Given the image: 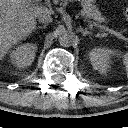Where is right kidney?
<instances>
[{
    "label": "right kidney",
    "instance_id": "right-kidney-1",
    "mask_svg": "<svg viewBox=\"0 0 128 128\" xmlns=\"http://www.w3.org/2000/svg\"><path fill=\"white\" fill-rule=\"evenodd\" d=\"M36 44L25 43L16 47L10 53L11 63L19 68L30 66L35 58Z\"/></svg>",
    "mask_w": 128,
    "mask_h": 128
}]
</instances>
